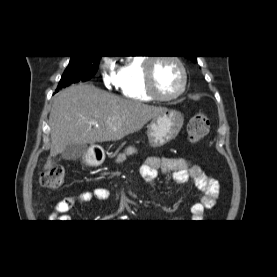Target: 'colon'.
I'll use <instances>...</instances> for the list:
<instances>
[{
    "label": "colon",
    "mask_w": 277,
    "mask_h": 277,
    "mask_svg": "<svg viewBox=\"0 0 277 277\" xmlns=\"http://www.w3.org/2000/svg\"><path fill=\"white\" fill-rule=\"evenodd\" d=\"M209 129L208 117L204 113H197L188 121V139L194 143L199 142L207 136ZM64 178V169L61 166H54L41 174L39 182L44 188L56 189L63 184Z\"/></svg>",
    "instance_id": "1"
}]
</instances>
